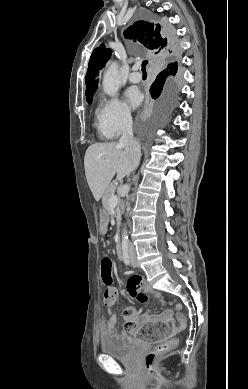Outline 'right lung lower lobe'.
<instances>
[{
  "label": "right lung lower lobe",
  "mask_w": 248,
  "mask_h": 389,
  "mask_svg": "<svg viewBox=\"0 0 248 389\" xmlns=\"http://www.w3.org/2000/svg\"><path fill=\"white\" fill-rule=\"evenodd\" d=\"M164 30H165V34H166L167 38L169 39V42H170L171 46L173 48H176L177 41L175 40L174 35L171 32L167 31L165 26H164ZM156 84H154V83L152 84V86L150 88V91L156 86Z\"/></svg>",
  "instance_id": "obj_1"
}]
</instances>
